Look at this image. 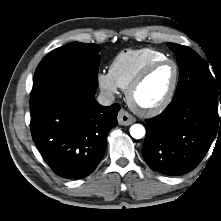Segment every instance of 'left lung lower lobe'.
<instances>
[{"instance_id": "obj_1", "label": "left lung lower lobe", "mask_w": 221, "mask_h": 221, "mask_svg": "<svg viewBox=\"0 0 221 221\" xmlns=\"http://www.w3.org/2000/svg\"><path fill=\"white\" fill-rule=\"evenodd\" d=\"M144 160L161 174L178 176L193 170L221 132L218 103L199 94L174 98L164 112L146 120Z\"/></svg>"}]
</instances>
